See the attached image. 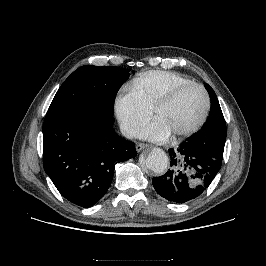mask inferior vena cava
Masks as SVG:
<instances>
[{
    "instance_id": "inferior-vena-cava-1",
    "label": "inferior vena cava",
    "mask_w": 266,
    "mask_h": 266,
    "mask_svg": "<svg viewBox=\"0 0 266 266\" xmlns=\"http://www.w3.org/2000/svg\"><path fill=\"white\" fill-rule=\"evenodd\" d=\"M120 131L126 138H133L136 134V129L128 124H121Z\"/></svg>"
}]
</instances>
